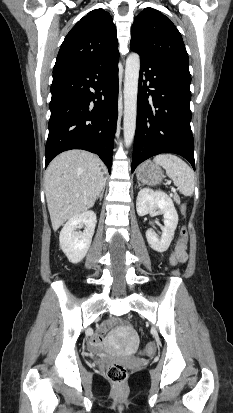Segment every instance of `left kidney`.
<instances>
[{"mask_svg":"<svg viewBox=\"0 0 233 413\" xmlns=\"http://www.w3.org/2000/svg\"><path fill=\"white\" fill-rule=\"evenodd\" d=\"M136 209L139 216H145L155 210L163 214L164 227L161 238H157L155 232L149 229L146 231V239L153 250L165 252L173 240L178 224V214L171 198L164 192L144 188L138 193Z\"/></svg>","mask_w":233,"mask_h":413,"instance_id":"obj_1","label":"left kidney"}]
</instances>
